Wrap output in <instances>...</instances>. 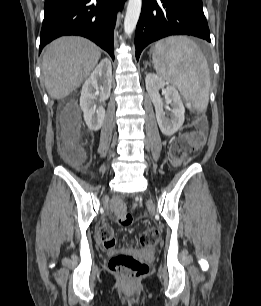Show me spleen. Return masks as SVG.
Instances as JSON below:
<instances>
[{
  "label": "spleen",
  "mask_w": 261,
  "mask_h": 306,
  "mask_svg": "<svg viewBox=\"0 0 261 306\" xmlns=\"http://www.w3.org/2000/svg\"><path fill=\"white\" fill-rule=\"evenodd\" d=\"M150 52L158 75L175 86L194 109L206 111L210 72L197 44L184 36H171L158 41Z\"/></svg>",
  "instance_id": "obj_1"
}]
</instances>
